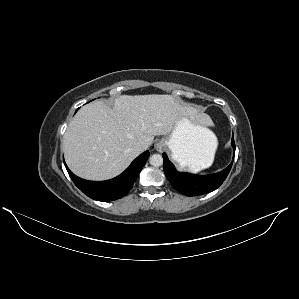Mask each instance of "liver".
I'll return each instance as SVG.
<instances>
[{"label":"liver","instance_id":"1","mask_svg":"<svg viewBox=\"0 0 299 299\" xmlns=\"http://www.w3.org/2000/svg\"><path fill=\"white\" fill-rule=\"evenodd\" d=\"M183 115L172 95H122L114 108L101 101L81 108L63 138L66 163L77 176L107 180L122 173L139 155L134 146L147 148L154 136L169 134Z\"/></svg>","mask_w":299,"mask_h":299}]
</instances>
